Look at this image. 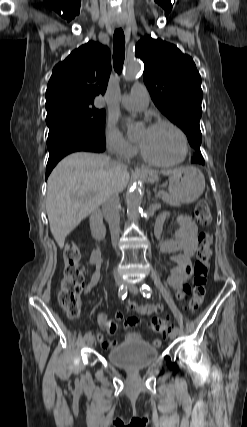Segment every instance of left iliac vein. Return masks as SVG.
<instances>
[{
	"mask_svg": "<svg viewBox=\"0 0 247 427\" xmlns=\"http://www.w3.org/2000/svg\"><path fill=\"white\" fill-rule=\"evenodd\" d=\"M124 285L126 286V288H128V290L133 293V294H138L139 290L137 288L136 285H134L132 282H125ZM179 331L173 329L170 333H169V338L170 339H175L176 336L178 335Z\"/></svg>",
	"mask_w": 247,
	"mask_h": 427,
	"instance_id": "4c4485c4",
	"label": "left iliac vein"
}]
</instances>
